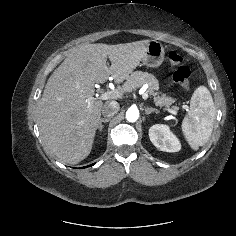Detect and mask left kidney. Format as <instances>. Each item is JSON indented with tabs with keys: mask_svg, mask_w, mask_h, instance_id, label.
<instances>
[{
	"mask_svg": "<svg viewBox=\"0 0 236 236\" xmlns=\"http://www.w3.org/2000/svg\"><path fill=\"white\" fill-rule=\"evenodd\" d=\"M149 138L153 145L161 151L178 152L181 149L178 138L166 125H153L149 129Z\"/></svg>",
	"mask_w": 236,
	"mask_h": 236,
	"instance_id": "1",
	"label": "left kidney"
}]
</instances>
